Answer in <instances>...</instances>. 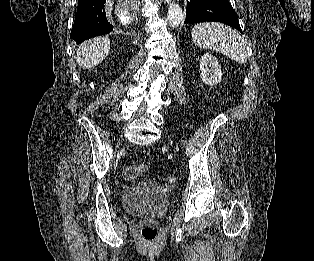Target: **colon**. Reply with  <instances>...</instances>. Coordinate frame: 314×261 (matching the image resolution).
Returning a JSON list of instances; mask_svg holds the SVG:
<instances>
[{"label": "colon", "instance_id": "obj_1", "mask_svg": "<svg viewBox=\"0 0 314 261\" xmlns=\"http://www.w3.org/2000/svg\"><path fill=\"white\" fill-rule=\"evenodd\" d=\"M144 165H129L126 166L123 170L124 179L130 181L136 179L138 176L145 172ZM140 233L144 239L152 241L156 238L158 229L153 224H144L140 228Z\"/></svg>", "mask_w": 314, "mask_h": 261}]
</instances>
